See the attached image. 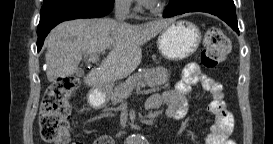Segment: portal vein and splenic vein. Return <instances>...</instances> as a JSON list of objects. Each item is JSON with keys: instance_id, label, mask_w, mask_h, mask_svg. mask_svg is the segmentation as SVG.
Listing matches in <instances>:
<instances>
[{"instance_id": "obj_1", "label": "portal vein and splenic vein", "mask_w": 273, "mask_h": 144, "mask_svg": "<svg viewBox=\"0 0 273 144\" xmlns=\"http://www.w3.org/2000/svg\"><path fill=\"white\" fill-rule=\"evenodd\" d=\"M89 60L93 63H96L99 61V56L97 53L89 54Z\"/></svg>"}]
</instances>
